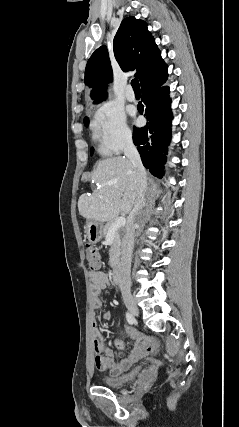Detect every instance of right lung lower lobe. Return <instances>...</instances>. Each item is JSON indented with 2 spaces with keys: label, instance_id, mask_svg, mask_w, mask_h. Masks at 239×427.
<instances>
[{
  "label": "right lung lower lobe",
  "instance_id": "right-lung-lower-lobe-1",
  "mask_svg": "<svg viewBox=\"0 0 239 427\" xmlns=\"http://www.w3.org/2000/svg\"><path fill=\"white\" fill-rule=\"evenodd\" d=\"M167 71L144 83L139 112L144 113L148 123L145 127L133 130V141L141 155L143 165L151 174L161 178L166 160L167 146L171 136L172 113L170 109L169 88L163 87L167 80Z\"/></svg>",
  "mask_w": 239,
  "mask_h": 427
}]
</instances>
